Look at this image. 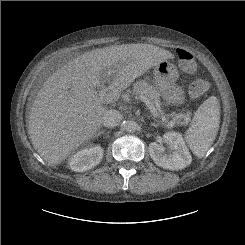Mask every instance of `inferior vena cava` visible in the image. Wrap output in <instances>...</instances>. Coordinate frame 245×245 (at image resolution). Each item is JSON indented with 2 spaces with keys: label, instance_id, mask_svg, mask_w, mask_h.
<instances>
[{
  "label": "inferior vena cava",
  "instance_id": "obj_1",
  "mask_svg": "<svg viewBox=\"0 0 245 245\" xmlns=\"http://www.w3.org/2000/svg\"><path fill=\"white\" fill-rule=\"evenodd\" d=\"M122 120V115L117 110H107L102 117V124L107 128L117 126Z\"/></svg>",
  "mask_w": 245,
  "mask_h": 245
}]
</instances>
